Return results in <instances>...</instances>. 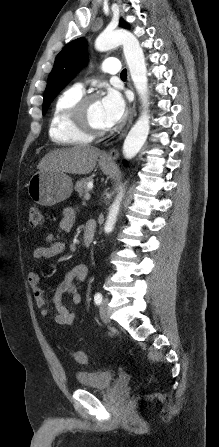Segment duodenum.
<instances>
[{"instance_id": "1", "label": "duodenum", "mask_w": 219, "mask_h": 447, "mask_svg": "<svg viewBox=\"0 0 219 447\" xmlns=\"http://www.w3.org/2000/svg\"><path fill=\"white\" fill-rule=\"evenodd\" d=\"M95 223L93 221H87L85 223L84 229H83V240H82V244L84 248H89V246L91 245L93 238H94V233H95Z\"/></svg>"}]
</instances>
